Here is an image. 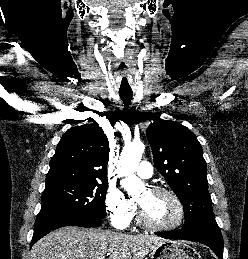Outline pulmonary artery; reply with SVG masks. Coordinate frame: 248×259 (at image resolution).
<instances>
[{"label": "pulmonary artery", "mask_w": 248, "mask_h": 259, "mask_svg": "<svg viewBox=\"0 0 248 259\" xmlns=\"http://www.w3.org/2000/svg\"><path fill=\"white\" fill-rule=\"evenodd\" d=\"M153 174L152 166L147 161H142L137 169V175L141 178H150Z\"/></svg>", "instance_id": "1"}]
</instances>
